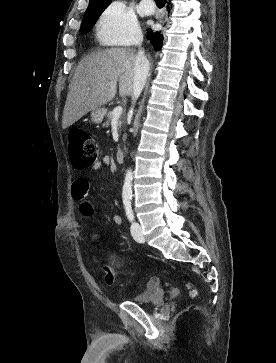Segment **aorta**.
Listing matches in <instances>:
<instances>
[{
  "label": "aorta",
  "mask_w": 276,
  "mask_h": 363,
  "mask_svg": "<svg viewBox=\"0 0 276 363\" xmlns=\"http://www.w3.org/2000/svg\"><path fill=\"white\" fill-rule=\"evenodd\" d=\"M132 180L133 173L130 169L127 170L122 190V198L123 200H130L132 197Z\"/></svg>",
  "instance_id": "obj_1"
}]
</instances>
